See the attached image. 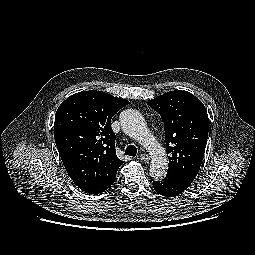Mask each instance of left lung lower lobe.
I'll return each mask as SVG.
<instances>
[{
  "mask_svg": "<svg viewBox=\"0 0 255 255\" xmlns=\"http://www.w3.org/2000/svg\"><path fill=\"white\" fill-rule=\"evenodd\" d=\"M154 190L165 197H175L184 192L190 184L181 182L169 177L153 182Z\"/></svg>",
  "mask_w": 255,
  "mask_h": 255,
  "instance_id": "1",
  "label": "left lung lower lobe"
}]
</instances>
